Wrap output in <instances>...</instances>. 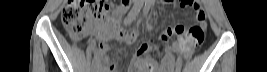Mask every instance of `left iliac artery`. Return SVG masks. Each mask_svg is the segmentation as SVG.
Returning <instances> with one entry per match:
<instances>
[{
    "label": "left iliac artery",
    "instance_id": "1",
    "mask_svg": "<svg viewBox=\"0 0 267 72\" xmlns=\"http://www.w3.org/2000/svg\"><path fill=\"white\" fill-rule=\"evenodd\" d=\"M150 7H151V2H150V1H147V2L145 3V8H144V14H145L146 16H147V14H148V11H149Z\"/></svg>",
    "mask_w": 267,
    "mask_h": 72
}]
</instances>
